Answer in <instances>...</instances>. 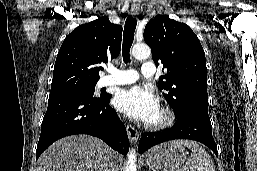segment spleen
<instances>
[{
    "mask_svg": "<svg viewBox=\"0 0 257 171\" xmlns=\"http://www.w3.org/2000/svg\"><path fill=\"white\" fill-rule=\"evenodd\" d=\"M170 144L178 147L186 146L192 151L181 171H215L211 157L198 143L190 140H175Z\"/></svg>",
    "mask_w": 257,
    "mask_h": 171,
    "instance_id": "1",
    "label": "spleen"
}]
</instances>
